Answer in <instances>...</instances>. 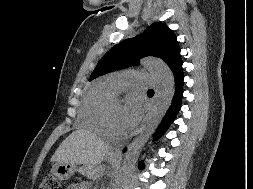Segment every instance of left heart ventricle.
Wrapping results in <instances>:
<instances>
[{"label": "left heart ventricle", "mask_w": 253, "mask_h": 189, "mask_svg": "<svg viewBox=\"0 0 253 189\" xmlns=\"http://www.w3.org/2000/svg\"><path fill=\"white\" fill-rule=\"evenodd\" d=\"M122 111H123V106L121 103L113 102L110 104L111 123L113 127L119 131L126 130L122 121Z\"/></svg>", "instance_id": "obj_1"}]
</instances>
